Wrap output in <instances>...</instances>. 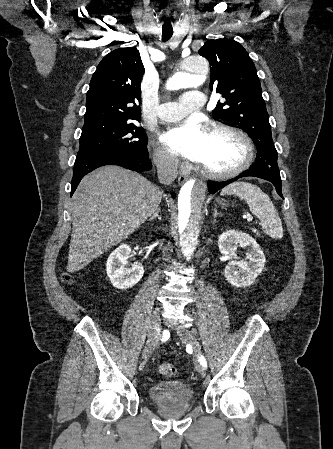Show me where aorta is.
I'll return each mask as SVG.
<instances>
[{
  "instance_id": "1",
  "label": "aorta",
  "mask_w": 333,
  "mask_h": 449,
  "mask_svg": "<svg viewBox=\"0 0 333 449\" xmlns=\"http://www.w3.org/2000/svg\"><path fill=\"white\" fill-rule=\"evenodd\" d=\"M182 70L175 73L166 87L170 90L198 87L209 73V63L202 55L194 54L181 60ZM207 183L189 179L178 195V239L182 253L190 259L198 244L200 213L203 207Z\"/></svg>"
}]
</instances>
